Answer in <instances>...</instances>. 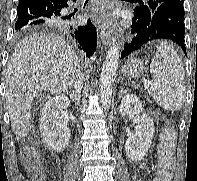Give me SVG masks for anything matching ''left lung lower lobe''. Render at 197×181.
<instances>
[{"label":"left lung lower lobe","instance_id":"left-lung-lower-lobe-1","mask_svg":"<svg viewBox=\"0 0 197 181\" xmlns=\"http://www.w3.org/2000/svg\"><path fill=\"white\" fill-rule=\"evenodd\" d=\"M184 7L181 0L167 1L159 5L150 19H132L134 37L124 46L121 58L139 50L144 44L156 39H167L178 44L186 53Z\"/></svg>","mask_w":197,"mask_h":181}]
</instances>
